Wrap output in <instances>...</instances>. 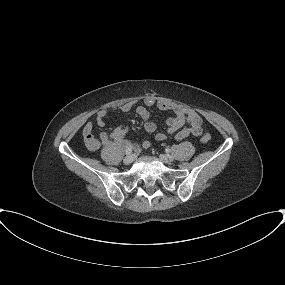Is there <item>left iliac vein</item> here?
Wrapping results in <instances>:
<instances>
[{"label":"left iliac vein","instance_id":"1","mask_svg":"<svg viewBox=\"0 0 285 285\" xmlns=\"http://www.w3.org/2000/svg\"><path fill=\"white\" fill-rule=\"evenodd\" d=\"M160 159L165 163H169L173 160V157L168 154H161Z\"/></svg>","mask_w":285,"mask_h":285}]
</instances>
